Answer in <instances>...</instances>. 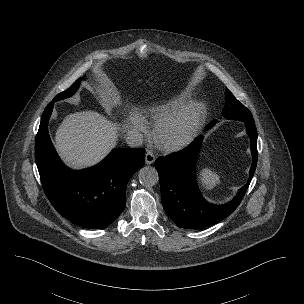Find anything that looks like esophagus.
Here are the masks:
<instances>
[{
    "label": "esophagus",
    "mask_w": 304,
    "mask_h": 304,
    "mask_svg": "<svg viewBox=\"0 0 304 304\" xmlns=\"http://www.w3.org/2000/svg\"><path fill=\"white\" fill-rule=\"evenodd\" d=\"M155 161V155L152 151H147L145 156V162L146 164L150 165L153 164Z\"/></svg>",
    "instance_id": "34e87169"
}]
</instances>
